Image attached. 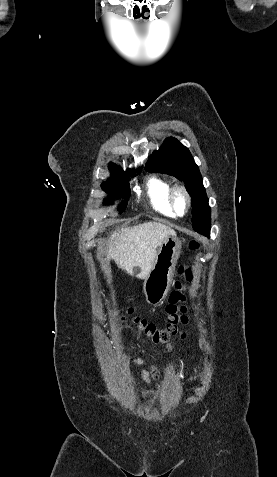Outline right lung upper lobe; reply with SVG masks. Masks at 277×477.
I'll return each mask as SVG.
<instances>
[{"label":"right lung upper lobe","mask_w":277,"mask_h":477,"mask_svg":"<svg viewBox=\"0 0 277 477\" xmlns=\"http://www.w3.org/2000/svg\"><path fill=\"white\" fill-rule=\"evenodd\" d=\"M109 169H110L111 171L121 170V169H119L114 163H110V164H109ZM128 170H133V169H128Z\"/></svg>","instance_id":"cb5924a9"}]
</instances>
